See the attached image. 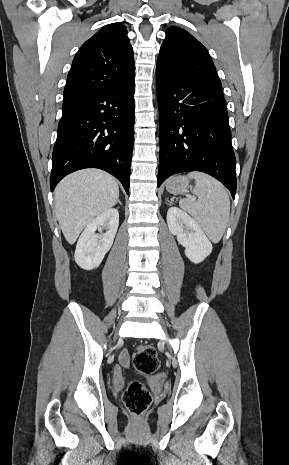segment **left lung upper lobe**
<instances>
[{
    "label": "left lung upper lobe",
    "mask_w": 289,
    "mask_h": 465,
    "mask_svg": "<svg viewBox=\"0 0 289 465\" xmlns=\"http://www.w3.org/2000/svg\"><path fill=\"white\" fill-rule=\"evenodd\" d=\"M156 73L168 79L195 81L221 88L220 79L206 48L177 26L166 31Z\"/></svg>",
    "instance_id": "obj_1"
}]
</instances>
